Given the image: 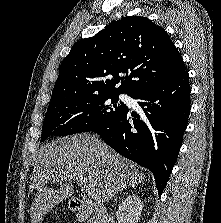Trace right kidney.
Segmentation results:
<instances>
[{
  "mask_svg": "<svg viewBox=\"0 0 221 223\" xmlns=\"http://www.w3.org/2000/svg\"><path fill=\"white\" fill-rule=\"evenodd\" d=\"M142 209L143 203L139 196H128L119 205L116 217L119 223H138Z\"/></svg>",
  "mask_w": 221,
  "mask_h": 223,
  "instance_id": "obj_1",
  "label": "right kidney"
}]
</instances>
